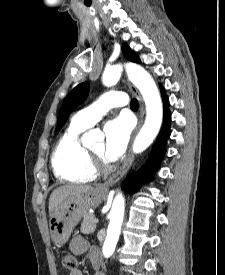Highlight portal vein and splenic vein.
<instances>
[{
	"label": "portal vein and splenic vein",
	"instance_id": "obj_1",
	"mask_svg": "<svg viewBox=\"0 0 225 275\" xmlns=\"http://www.w3.org/2000/svg\"><path fill=\"white\" fill-rule=\"evenodd\" d=\"M94 223H98V219L97 218H94Z\"/></svg>",
	"mask_w": 225,
	"mask_h": 275
}]
</instances>
